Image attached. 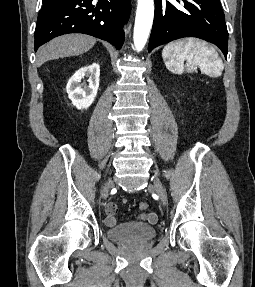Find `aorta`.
Listing matches in <instances>:
<instances>
[{
    "label": "aorta",
    "instance_id": "aorta-1",
    "mask_svg": "<svg viewBox=\"0 0 255 287\" xmlns=\"http://www.w3.org/2000/svg\"><path fill=\"white\" fill-rule=\"evenodd\" d=\"M154 17V1L138 0L134 26V45L141 51L148 39Z\"/></svg>",
    "mask_w": 255,
    "mask_h": 287
}]
</instances>
